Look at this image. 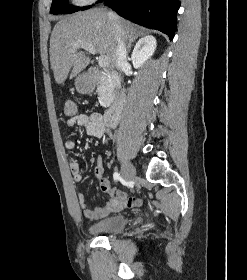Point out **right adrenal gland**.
<instances>
[{"instance_id": "right-adrenal-gland-1", "label": "right adrenal gland", "mask_w": 247, "mask_h": 280, "mask_svg": "<svg viewBox=\"0 0 247 280\" xmlns=\"http://www.w3.org/2000/svg\"><path fill=\"white\" fill-rule=\"evenodd\" d=\"M139 34L135 35L133 38L129 39V43H128V53H130L131 51V47H132V43L136 41V39L138 38Z\"/></svg>"}]
</instances>
